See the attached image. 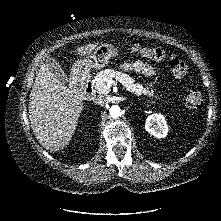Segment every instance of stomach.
I'll return each instance as SVG.
<instances>
[{"mask_svg":"<svg viewBox=\"0 0 221 221\" xmlns=\"http://www.w3.org/2000/svg\"><path fill=\"white\" fill-rule=\"evenodd\" d=\"M116 56H118L117 48L111 44H102L89 56L77 60L72 66V72L78 75H86L91 68L101 69Z\"/></svg>","mask_w":221,"mask_h":221,"instance_id":"0dacf381","label":"stomach"}]
</instances>
